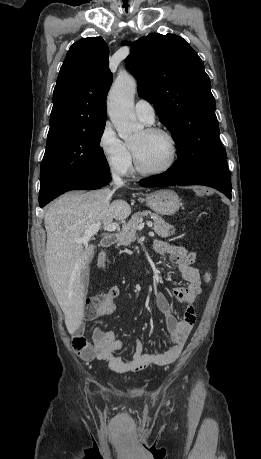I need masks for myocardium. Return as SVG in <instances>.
<instances>
[{"mask_svg":"<svg viewBox=\"0 0 261 459\" xmlns=\"http://www.w3.org/2000/svg\"><path fill=\"white\" fill-rule=\"evenodd\" d=\"M145 132L147 134H158L165 136L170 143L171 155L169 161L164 166L157 169H146L141 166L134 149L131 147L136 171L144 176H154L168 172L175 165L178 158V145L174 135L170 131L160 127H148L145 129Z\"/></svg>","mask_w":261,"mask_h":459,"instance_id":"obj_1","label":"myocardium"}]
</instances>
